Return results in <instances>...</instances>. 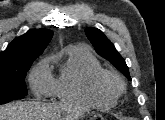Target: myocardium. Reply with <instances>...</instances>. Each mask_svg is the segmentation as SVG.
I'll use <instances>...</instances> for the list:
<instances>
[{
  "label": "myocardium",
  "mask_w": 165,
  "mask_h": 120,
  "mask_svg": "<svg viewBox=\"0 0 165 120\" xmlns=\"http://www.w3.org/2000/svg\"><path fill=\"white\" fill-rule=\"evenodd\" d=\"M92 88L97 94L117 98L124 90V82L114 71L102 69L93 76Z\"/></svg>",
  "instance_id": "myocardium-1"
}]
</instances>
